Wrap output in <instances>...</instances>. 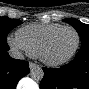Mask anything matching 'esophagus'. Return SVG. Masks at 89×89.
I'll return each mask as SVG.
<instances>
[{"label": "esophagus", "mask_w": 89, "mask_h": 89, "mask_svg": "<svg viewBox=\"0 0 89 89\" xmlns=\"http://www.w3.org/2000/svg\"><path fill=\"white\" fill-rule=\"evenodd\" d=\"M29 67H30V69H34V68H37L38 65L33 62H29Z\"/></svg>", "instance_id": "obj_1"}]
</instances>
